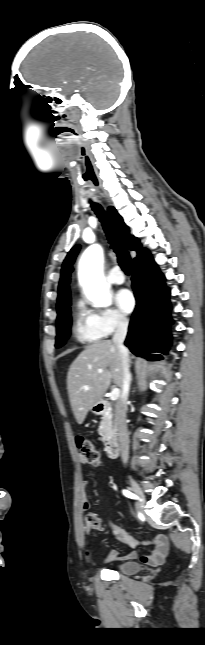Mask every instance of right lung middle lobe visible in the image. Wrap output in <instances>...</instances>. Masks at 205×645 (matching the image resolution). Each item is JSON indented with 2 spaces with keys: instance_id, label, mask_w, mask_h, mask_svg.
<instances>
[{
  "instance_id": "right-lung-middle-lobe-1",
  "label": "right lung middle lobe",
  "mask_w": 205,
  "mask_h": 645,
  "mask_svg": "<svg viewBox=\"0 0 205 645\" xmlns=\"http://www.w3.org/2000/svg\"><path fill=\"white\" fill-rule=\"evenodd\" d=\"M70 307L64 309L57 317V337L55 347L62 346L70 334L71 327Z\"/></svg>"
}]
</instances>
